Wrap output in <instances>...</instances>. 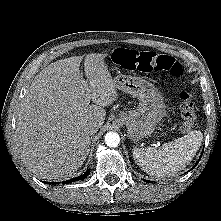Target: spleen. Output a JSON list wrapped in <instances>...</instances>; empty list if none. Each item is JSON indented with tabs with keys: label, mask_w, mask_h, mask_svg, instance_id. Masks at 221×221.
Segmentation results:
<instances>
[{
	"label": "spleen",
	"mask_w": 221,
	"mask_h": 221,
	"mask_svg": "<svg viewBox=\"0 0 221 221\" xmlns=\"http://www.w3.org/2000/svg\"><path fill=\"white\" fill-rule=\"evenodd\" d=\"M203 134L191 131L161 147L134 148L133 158L141 169L151 176L167 177L183 170L198 151Z\"/></svg>",
	"instance_id": "3e777b00"
}]
</instances>
